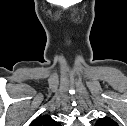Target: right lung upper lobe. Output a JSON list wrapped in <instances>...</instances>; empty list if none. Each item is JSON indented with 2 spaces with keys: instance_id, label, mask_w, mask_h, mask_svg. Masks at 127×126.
<instances>
[{
  "instance_id": "right-lung-upper-lobe-1",
  "label": "right lung upper lobe",
  "mask_w": 127,
  "mask_h": 126,
  "mask_svg": "<svg viewBox=\"0 0 127 126\" xmlns=\"http://www.w3.org/2000/svg\"><path fill=\"white\" fill-rule=\"evenodd\" d=\"M30 126H60V124L53 120L49 115H43L36 118Z\"/></svg>"
}]
</instances>
